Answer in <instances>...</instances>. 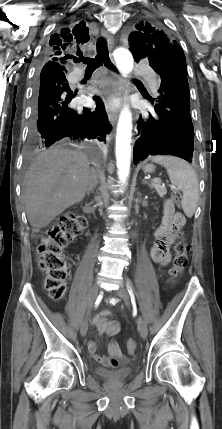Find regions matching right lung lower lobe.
Returning <instances> with one entry per match:
<instances>
[{"label": "right lung lower lobe", "instance_id": "98d812e1", "mask_svg": "<svg viewBox=\"0 0 222 429\" xmlns=\"http://www.w3.org/2000/svg\"><path fill=\"white\" fill-rule=\"evenodd\" d=\"M66 70L48 61L36 83V101L33 106L31 129L34 138L47 147L54 143L79 145L84 139L105 142L111 131L103 102L98 96L95 111L76 110L69 103L73 99L65 77Z\"/></svg>", "mask_w": 222, "mask_h": 429}]
</instances>
